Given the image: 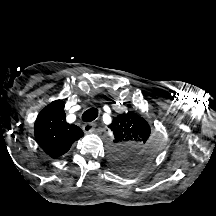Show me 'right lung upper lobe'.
Returning <instances> with one entry per match:
<instances>
[{
  "mask_svg": "<svg viewBox=\"0 0 216 216\" xmlns=\"http://www.w3.org/2000/svg\"><path fill=\"white\" fill-rule=\"evenodd\" d=\"M34 132L39 146L52 158L66 153L71 145L84 135L78 126L65 121L62 100L53 101L39 113Z\"/></svg>",
  "mask_w": 216,
  "mask_h": 216,
  "instance_id": "right-lung-upper-lobe-1",
  "label": "right lung upper lobe"
}]
</instances>
